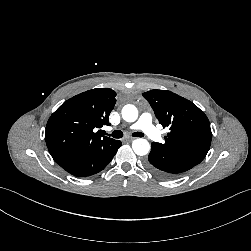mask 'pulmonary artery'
<instances>
[{
  "label": "pulmonary artery",
  "mask_w": 251,
  "mask_h": 251,
  "mask_svg": "<svg viewBox=\"0 0 251 251\" xmlns=\"http://www.w3.org/2000/svg\"><path fill=\"white\" fill-rule=\"evenodd\" d=\"M129 129L143 131L151 140L161 141L160 132L152 124V116L148 112L141 114L137 122L132 124Z\"/></svg>",
  "instance_id": "obj_1"
}]
</instances>
